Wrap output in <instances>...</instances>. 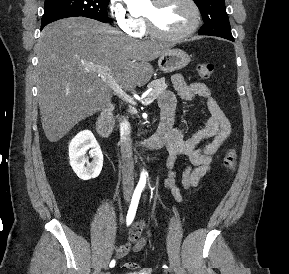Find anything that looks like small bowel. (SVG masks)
<instances>
[{"label":"small bowel","instance_id":"c3829d8e","mask_svg":"<svg viewBox=\"0 0 289 274\" xmlns=\"http://www.w3.org/2000/svg\"><path fill=\"white\" fill-rule=\"evenodd\" d=\"M173 87L177 96L186 102H193L197 98L205 100L209 117L206 125L186 137L187 127L177 126L171 130L168 138L169 157L165 168L164 189L172 194L177 202H182L181 189L177 185V173L175 164L178 159L184 158L188 164L181 175L183 189L190 191L199 186L201 179L209 174L211 164L216 153L232 136V124L222 111L212 95L210 88L201 82L187 83L181 75L172 77ZM162 113H175L177 97L171 91H165L159 99ZM145 232V223H134L130 230L126 243L115 247L118 258L127 256L131 251L138 252L146 244L148 234Z\"/></svg>","mask_w":289,"mask_h":274}]
</instances>
